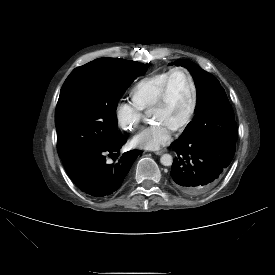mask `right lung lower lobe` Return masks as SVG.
<instances>
[{"instance_id": "right-lung-lower-lobe-1", "label": "right lung lower lobe", "mask_w": 275, "mask_h": 275, "mask_svg": "<svg viewBox=\"0 0 275 275\" xmlns=\"http://www.w3.org/2000/svg\"><path fill=\"white\" fill-rule=\"evenodd\" d=\"M120 134L110 142L97 148L78 151L62 158L64 167L72 181L86 194L103 197L116 191L122 184L133 162L142 152H125L116 163L109 164L106 156L115 153L125 144Z\"/></svg>"}]
</instances>
